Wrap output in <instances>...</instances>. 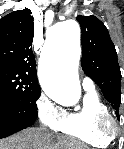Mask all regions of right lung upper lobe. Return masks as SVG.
Listing matches in <instances>:
<instances>
[{
	"label": "right lung upper lobe",
	"instance_id": "obj_1",
	"mask_svg": "<svg viewBox=\"0 0 124 149\" xmlns=\"http://www.w3.org/2000/svg\"><path fill=\"white\" fill-rule=\"evenodd\" d=\"M33 36L30 10H17L0 19V66L21 71L38 83Z\"/></svg>",
	"mask_w": 124,
	"mask_h": 149
}]
</instances>
